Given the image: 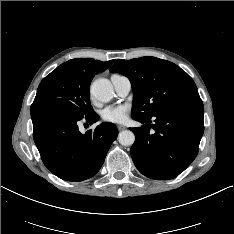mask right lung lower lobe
Here are the masks:
<instances>
[{
    "label": "right lung lower lobe",
    "instance_id": "right-lung-lower-lobe-1",
    "mask_svg": "<svg viewBox=\"0 0 234 234\" xmlns=\"http://www.w3.org/2000/svg\"><path fill=\"white\" fill-rule=\"evenodd\" d=\"M33 138L46 168L66 181H83L101 168L118 135L112 123H102L94 131L80 133L78 122L98 121L93 112L83 117L54 109L31 112Z\"/></svg>",
    "mask_w": 234,
    "mask_h": 234
}]
</instances>
